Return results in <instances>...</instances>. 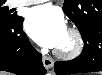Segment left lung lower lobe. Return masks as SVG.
<instances>
[{"label": "left lung lower lobe", "instance_id": "obj_1", "mask_svg": "<svg viewBox=\"0 0 102 75\" xmlns=\"http://www.w3.org/2000/svg\"><path fill=\"white\" fill-rule=\"evenodd\" d=\"M84 48L82 53L70 61H57V75L102 71V25L92 24L79 29Z\"/></svg>", "mask_w": 102, "mask_h": 75}]
</instances>
